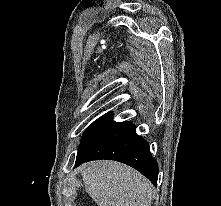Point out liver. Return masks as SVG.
I'll return each instance as SVG.
<instances>
[{"label": "liver", "instance_id": "obj_1", "mask_svg": "<svg viewBox=\"0 0 221 206\" xmlns=\"http://www.w3.org/2000/svg\"><path fill=\"white\" fill-rule=\"evenodd\" d=\"M81 175L88 195L98 206H151V183L127 165L93 161L81 167Z\"/></svg>", "mask_w": 221, "mask_h": 206}]
</instances>
